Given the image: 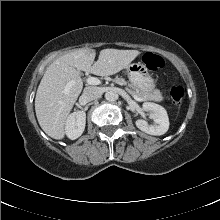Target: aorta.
<instances>
[{
    "instance_id": "762f6f07",
    "label": "aorta",
    "mask_w": 220,
    "mask_h": 220,
    "mask_svg": "<svg viewBox=\"0 0 220 220\" xmlns=\"http://www.w3.org/2000/svg\"><path fill=\"white\" fill-rule=\"evenodd\" d=\"M105 99L109 102H114L118 99V95L113 91H108L105 93Z\"/></svg>"
}]
</instances>
